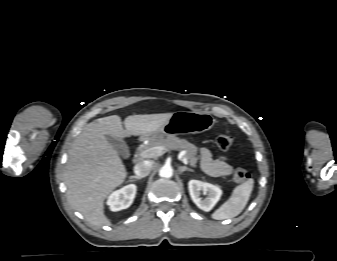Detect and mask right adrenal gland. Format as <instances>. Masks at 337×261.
Here are the masks:
<instances>
[{"label": "right adrenal gland", "mask_w": 337, "mask_h": 261, "mask_svg": "<svg viewBox=\"0 0 337 261\" xmlns=\"http://www.w3.org/2000/svg\"><path fill=\"white\" fill-rule=\"evenodd\" d=\"M130 179L141 180L142 177H139V176L134 175V176H130Z\"/></svg>", "instance_id": "right-adrenal-gland-1"}]
</instances>
